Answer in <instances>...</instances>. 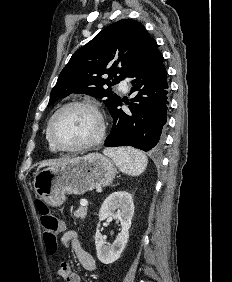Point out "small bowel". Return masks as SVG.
I'll use <instances>...</instances> for the list:
<instances>
[{"mask_svg": "<svg viewBox=\"0 0 232 282\" xmlns=\"http://www.w3.org/2000/svg\"><path fill=\"white\" fill-rule=\"evenodd\" d=\"M63 246H70L77 260L85 270L94 271L96 263L93 256L85 251L81 246L80 236L74 230H67L61 237ZM58 275L64 282H81L80 276L70 267V265L63 261L58 269Z\"/></svg>", "mask_w": 232, "mask_h": 282, "instance_id": "small-bowel-1", "label": "small bowel"}]
</instances>
